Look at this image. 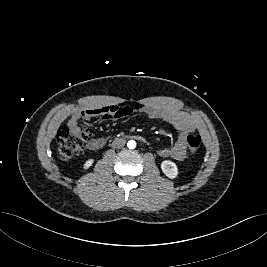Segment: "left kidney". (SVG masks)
Returning a JSON list of instances; mask_svg holds the SVG:
<instances>
[{
	"label": "left kidney",
	"instance_id": "5707ae66",
	"mask_svg": "<svg viewBox=\"0 0 267 267\" xmlns=\"http://www.w3.org/2000/svg\"><path fill=\"white\" fill-rule=\"evenodd\" d=\"M162 172L169 178L174 179L178 175L177 165L173 161L164 160L161 163Z\"/></svg>",
	"mask_w": 267,
	"mask_h": 267
}]
</instances>
